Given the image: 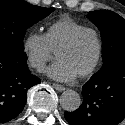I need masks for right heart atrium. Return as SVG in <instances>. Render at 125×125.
Wrapping results in <instances>:
<instances>
[{
	"instance_id": "d8ad5b80",
	"label": "right heart atrium",
	"mask_w": 125,
	"mask_h": 125,
	"mask_svg": "<svg viewBox=\"0 0 125 125\" xmlns=\"http://www.w3.org/2000/svg\"><path fill=\"white\" fill-rule=\"evenodd\" d=\"M22 50L29 66L38 72L54 58V51L48 45L45 34L28 33L22 41Z\"/></svg>"
}]
</instances>
